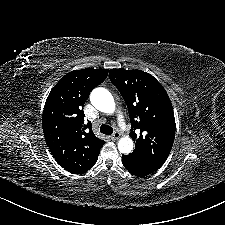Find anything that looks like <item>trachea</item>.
Returning a JSON list of instances; mask_svg holds the SVG:
<instances>
[{"mask_svg": "<svg viewBox=\"0 0 225 225\" xmlns=\"http://www.w3.org/2000/svg\"><path fill=\"white\" fill-rule=\"evenodd\" d=\"M100 132L106 135H111L113 133V128L107 125L102 124L100 126Z\"/></svg>", "mask_w": 225, "mask_h": 225, "instance_id": "1", "label": "trachea"}]
</instances>
